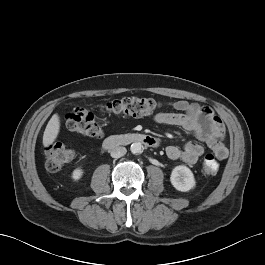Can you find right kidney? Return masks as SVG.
I'll list each match as a JSON object with an SVG mask.
<instances>
[{
    "label": "right kidney",
    "instance_id": "obj_1",
    "mask_svg": "<svg viewBox=\"0 0 265 265\" xmlns=\"http://www.w3.org/2000/svg\"><path fill=\"white\" fill-rule=\"evenodd\" d=\"M83 175V170L80 168H76L73 172H72V179L74 181H78Z\"/></svg>",
    "mask_w": 265,
    "mask_h": 265
}]
</instances>
